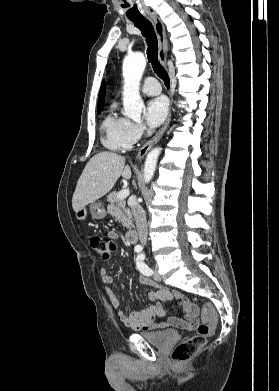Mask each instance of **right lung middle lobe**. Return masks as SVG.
Returning a JSON list of instances; mask_svg holds the SVG:
<instances>
[{"mask_svg": "<svg viewBox=\"0 0 279 391\" xmlns=\"http://www.w3.org/2000/svg\"><path fill=\"white\" fill-rule=\"evenodd\" d=\"M102 111V108H98L97 112L100 113Z\"/></svg>", "mask_w": 279, "mask_h": 391, "instance_id": "right-lung-middle-lobe-1", "label": "right lung middle lobe"}]
</instances>
